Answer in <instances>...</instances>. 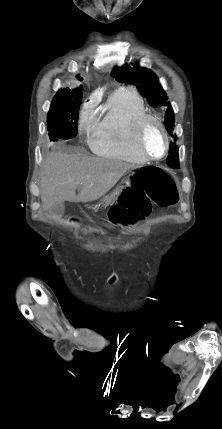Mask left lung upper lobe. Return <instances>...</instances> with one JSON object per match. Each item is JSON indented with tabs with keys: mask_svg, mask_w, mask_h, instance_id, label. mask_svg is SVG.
<instances>
[{
	"mask_svg": "<svg viewBox=\"0 0 222 429\" xmlns=\"http://www.w3.org/2000/svg\"><path fill=\"white\" fill-rule=\"evenodd\" d=\"M111 75L121 83L135 85L140 94L147 99L152 107L168 106L164 124L168 133L174 137L171 134L175 122L173 109L168 101L167 94L159 84L157 76L151 70L140 68L138 63L133 65V67L124 64L121 67H115ZM166 162L172 168H179L178 147L175 143L170 144L169 155Z\"/></svg>",
	"mask_w": 222,
	"mask_h": 429,
	"instance_id": "obj_1",
	"label": "left lung upper lobe"
}]
</instances>
